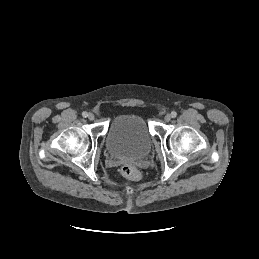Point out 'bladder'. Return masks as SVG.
Returning a JSON list of instances; mask_svg holds the SVG:
<instances>
[{"instance_id":"obj_1","label":"bladder","mask_w":259,"mask_h":259,"mask_svg":"<svg viewBox=\"0 0 259 259\" xmlns=\"http://www.w3.org/2000/svg\"><path fill=\"white\" fill-rule=\"evenodd\" d=\"M106 147L114 156H145L151 147V134L145 117L139 113L117 115L110 123Z\"/></svg>"}]
</instances>
